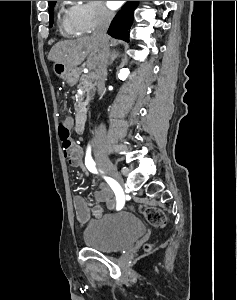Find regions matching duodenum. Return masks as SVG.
Here are the masks:
<instances>
[{"instance_id":"duodenum-1","label":"duodenum","mask_w":237,"mask_h":300,"mask_svg":"<svg viewBox=\"0 0 237 300\" xmlns=\"http://www.w3.org/2000/svg\"><path fill=\"white\" fill-rule=\"evenodd\" d=\"M87 128V116L85 112L81 111L77 114L75 119V129L79 134L85 133Z\"/></svg>"}]
</instances>
